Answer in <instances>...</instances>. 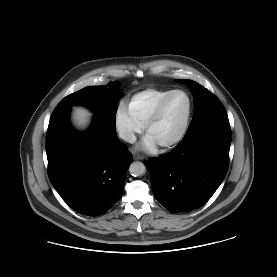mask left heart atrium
Here are the masks:
<instances>
[{"label": "left heart atrium", "mask_w": 277, "mask_h": 277, "mask_svg": "<svg viewBox=\"0 0 277 277\" xmlns=\"http://www.w3.org/2000/svg\"><path fill=\"white\" fill-rule=\"evenodd\" d=\"M137 149L145 151V152H153L157 149V143L149 134H147L142 139V141L138 145Z\"/></svg>", "instance_id": "1"}]
</instances>
